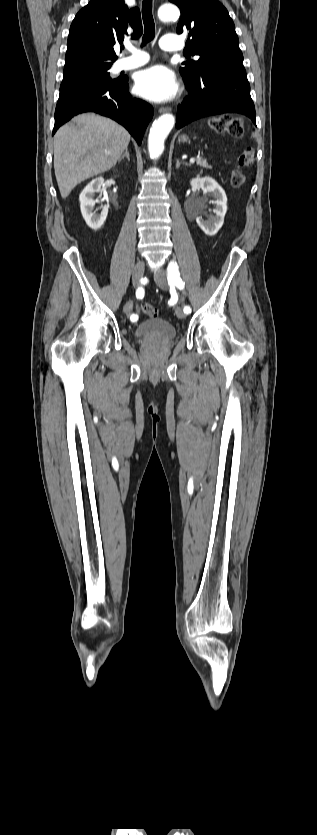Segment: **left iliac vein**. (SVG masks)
I'll list each match as a JSON object with an SVG mask.
<instances>
[{"label":"left iliac vein","mask_w":317,"mask_h":835,"mask_svg":"<svg viewBox=\"0 0 317 835\" xmlns=\"http://www.w3.org/2000/svg\"><path fill=\"white\" fill-rule=\"evenodd\" d=\"M154 280H155L156 284L158 285V287H160L161 289H163V290L168 289V281H167V277H166L164 272L157 273L154 276ZM175 313H176V316L180 319H184L185 316H186L185 312L183 311V309L181 307H177L176 310H175Z\"/></svg>","instance_id":"obj_1"}]
</instances>
